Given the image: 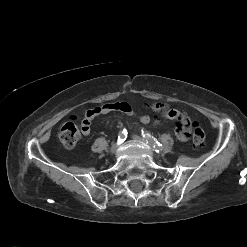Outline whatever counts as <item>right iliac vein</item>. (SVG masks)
<instances>
[{"label":"right iliac vein","instance_id":"63e3f726","mask_svg":"<svg viewBox=\"0 0 247 247\" xmlns=\"http://www.w3.org/2000/svg\"><path fill=\"white\" fill-rule=\"evenodd\" d=\"M118 147H119V144H118V143L113 144V145L111 146V148H110V152H111L112 154L116 153Z\"/></svg>","mask_w":247,"mask_h":247}]
</instances>
